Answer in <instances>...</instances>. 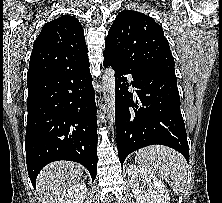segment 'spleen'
Listing matches in <instances>:
<instances>
[{
	"label": "spleen",
	"mask_w": 222,
	"mask_h": 203,
	"mask_svg": "<svg viewBox=\"0 0 222 203\" xmlns=\"http://www.w3.org/2000/svg\"><path fill=\"white\" fill-rule=\"evenodd\" d=\"M135 161L166 180L175 193L182 192L187 182L188 165L176 150L162 145L148 146L136 152Z\"/></svg>",
	"instance_id": "3e777b00"
}]
</instances>
